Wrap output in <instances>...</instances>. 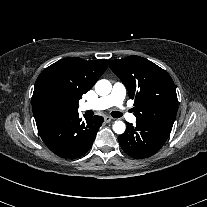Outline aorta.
I'll list each match as a JSON object with an SVG mask.
<instances>
[{"label":"aorta","mask_w":207,"mask_h":207,"mask_svg":"<svg viewBox=\"0 0 207 207\" xmlns=\"http://www.w3.org/2000/svg\"><path fill=\"white\" fill-rule=\"evenodd\" d=\"M112 85L108 80L102 79L95 84V91L100 96H106L111 92ZM125 123L122 121H115L113 124V130L117 134H122L125 131Z\"/></svg>","instance_id":"aorta-1"}]
</instances>
